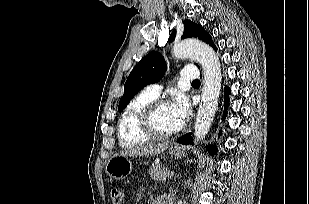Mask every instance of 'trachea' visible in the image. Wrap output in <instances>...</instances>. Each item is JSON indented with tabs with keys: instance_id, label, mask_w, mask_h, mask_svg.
<instances>
[{
	"instance_id": "obj_1",
	"label": "trachea",
	"mask_w": 309,
	"mask_h": 204,
	"mask_svg": "<svg viewBox=\"0 0 309 204\" xmlns=\"http://www.w3.org/2000/svg\"><path fill=\"white\" fill-rule=\"evenodd\" d=\"M192 84H200V80H194Z\"/></svg>"
}]
</instances>
